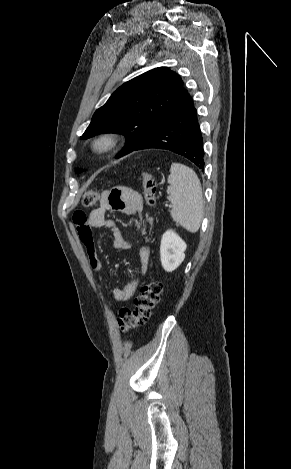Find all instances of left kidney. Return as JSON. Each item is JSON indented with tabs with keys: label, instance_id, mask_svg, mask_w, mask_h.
Returning <instances> with one entry per match:
<instances>
[{
	"label": "left kidney",
	"instance_id": "obj_1",
	"mask_svg": "<svg viewBox=\"0 0 291 469\" xmlns=\"http://www.w3.org/2000/svg\"><path fill=\"white\" fill-rule=\"evenodd\" d=\"M186 247V243L173 230H168L163 234L160 260L165 271L172 272L183 262Z\"/></svg>",
	"mask_w": 291,
	"mask_h": 469
}]
</instances>
